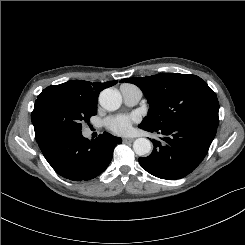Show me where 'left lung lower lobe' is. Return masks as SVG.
I'll return each mask as SVG.
<instances>
[{"label":"left lung lower lobe","mask_w":245,"mask_h":245,"mask_svg":"<svg viewBox=\"0 0 245 245\" xmlns=\"http://www.w3.org/2000/svg\"><path fill=\"white\" fill-rule=\"evenodd\" d=\"M139 128L157 132L150 156L140 157L141 167L161 179H180L191 173L204 159L215 137L217 126L199 120H186L161 128Z\"/></svg>","instance_id":"left-lung-lower-lobe-1"}]
</instances>
